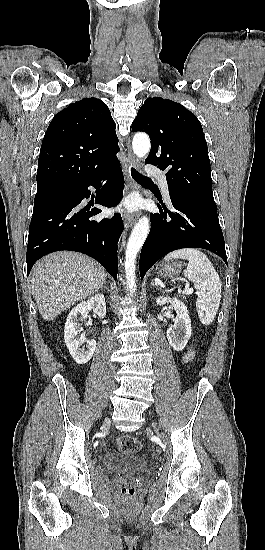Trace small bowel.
Returning a JSON list of instances; mask_svg holds the SVG:
<instances>
[{"mask_svg": "<svg viewBox=\"0 0 265 550\" xmlns=\"http://www.w3.org/2000/svg\"><path fill=\"white\" fill-rule=\"evenodd\" d=\"M195 357V351H194V348L192 346H190L187 351L184 353L183 357H182V360L184 363H189L191 362Z\"/></svg>", "mask_w": 265, "mask_h": 550, "instance_id": "c3829d8e", "label": "small bowel"}]
</instances>
